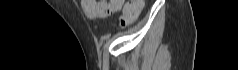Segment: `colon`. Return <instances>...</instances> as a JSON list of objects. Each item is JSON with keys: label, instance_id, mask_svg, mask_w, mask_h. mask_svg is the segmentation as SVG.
I'll use <instances>...</instances> for the list:
<instances>
[{"label": "colon", "instance_id": "obj_1", "mask_svg": "<svg viewBox=\"0 0 238 70\" xmlns=\"http://www.w3.org/2000/svg\"><path fill=\"white\" fill-rule=\"evenodd\" d=\"M125 0H109V2L96 3V0H83L86 3L84 10L88 18L106 17L112 12H119V7H123ZM81 2V3H82ZM144 5L143 0L127 1L124 7V16L121 19L122 24L132 22Z\"/></svg>", "mask_w": 238, "mask_h": 70}]
</instances>
